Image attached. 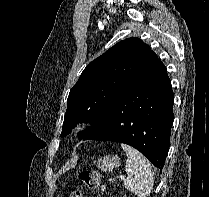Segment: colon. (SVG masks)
Segmentation results:
<instances>
[{
	"instance_id": "colon-1",
	"label": "colon",
	"mask_w": 209,
	"mask_h": 197,
	"mask_svg": "<svg viewBox=\"0 0 209 197\" xmlns=\"http://www.w3.org/2000/svg\"><path fill=\"white\" fill-rule=\"evenodd\" d=\"M79 179L89 189H103L104 184L102 176L94 171H81L79 173ZM69 197H83L80 190H74L70 193Z\"/></svg>"
}]
</instances>
